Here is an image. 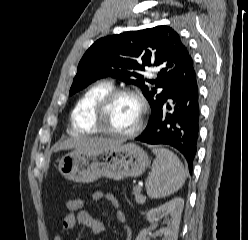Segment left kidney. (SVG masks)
<instances>
[{"instance_id":"obj_1","label":"left kidney","mask_w":248,"mask_h":240,"mask_svg":"<svg viewBox=\"0 0 248 240\" xmlns=\"http://www.w3.org/2000/svg\"><path fill=\"white\" fill-rule=\"evenodd\" d=\"M183 207L184 200L177 197L148 211L147 220L151 223L157 222L162 217L170 216L166 222L167 227L160 230V234L163 236L162 240H177ZM148 232V229H143L136 240H147Z\"/></svg>"}]
</instances>
